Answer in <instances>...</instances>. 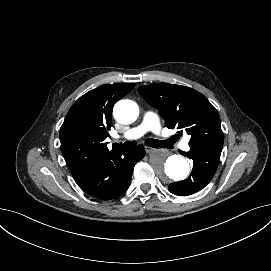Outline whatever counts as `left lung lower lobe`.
<instances>
[{
	"instance_id": "0a47b994",
	"label": "left lung lower lobe",
	"mask_w": 271,
	"mask_h": 271,
	"mask_svg": "<svg viewBox=\"0 0 271 271\" xmlns=\"http://www.w3.org/2000/svg\"><path fill=\"white\" fill-rule=\"evenodd\" d=\"M193 160V171L188 179L171 183L169 191L178 196H188L203 189L213 178L220 155H214L205 147L191 148L186 153Z\"/></svg>"
}]
</instances>
